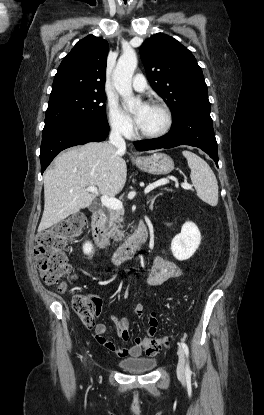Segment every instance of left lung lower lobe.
Returning <instances> with one entry per match:
<instances>
[{"mask_svg": "<svg viewBox=\"0 0 264 415\" xmlns=\"http://www.w3.org/2000/svg\"><path fill=\"white\" fill-rule=\"evenodd\" d=\"M139 151L190 145L202 149L218 167L217 142L210 117V107H194L173 119L170 131L159 138L136 141Z\"/></svg>", "mask_w": 264, "mask_h": 415, "instance_id": "obj_1", "label": "left lung lower lobe"}]
</instances>
